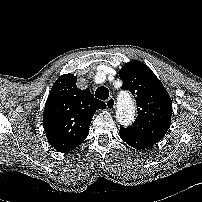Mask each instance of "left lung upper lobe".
Returning <instances> with one entry per match:
<instances>
[{
    "instance_id": "obj_1",
    "label": "left lung upper lobe",
    "mask_w": 202,
    "mask_h": 202,
    "mask_svg": "<svg viewBox=\"0 0 202 202\" xmlns=\"http://www.w3.org/2000/svg\"><path fill=\"white\" fill-rule=\"evenodd\" d=\"M119 76L122 88L134 94L138 106V116L125 129L137 136L161 140L172 115V102L162 83L146 64L136 60L126 63Z\"/></svg>"
}]
</instances>
